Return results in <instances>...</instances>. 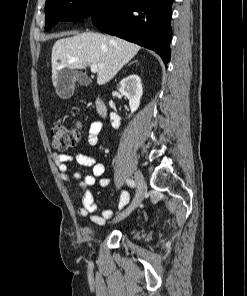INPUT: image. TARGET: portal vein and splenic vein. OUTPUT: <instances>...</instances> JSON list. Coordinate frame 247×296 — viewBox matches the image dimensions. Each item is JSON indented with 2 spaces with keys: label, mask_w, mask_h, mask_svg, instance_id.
Segmentation results:
<instances>
[{
  "label": "portal vein and splenic vein",
  "mask_w": 247,
  "mask_h": 296,
  "mask_svg": "<svg viewBox=\"0 0 247 296\" xmlns=\"http://www.w3.org/2000/svg\"><path fill=\"white\" fill-rule=\"evenodd\" d=\"M103 67V65L100 64H91V72L96 73L98 71V68Z\"/></svg>",
  "instance_id": "1"
}]
</instances>
